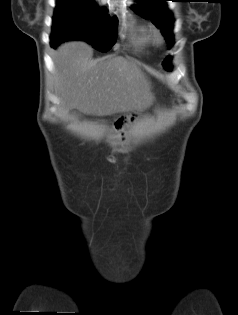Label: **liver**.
<instances>
[{"label": "liver", "instance_id": "1", "mask_svg": "<svg viewBox=\"0 0 238 315\" xmlns=\"http://www.w3.org/2000/svg\"><path fill=\"white\" fill-rule=\"evenodd\" d=\"M85 42L61 45L54 59V88L60 107L103 116L149 105L150 83L137 65L122 56L92 59Z\"/></svg>", "mask_w": 238, "mask_h": 315}]
</instances>
